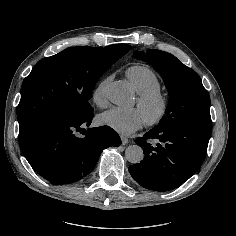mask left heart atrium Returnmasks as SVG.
<instances>
[{"mask_svg":"<svg viewBox=\"0 0 236 236\" xmlns=\"http://www.w3.org/2000/svg\"><path fill=\"white\" fill-rule=\"evenodd\" d=\"M145 117L139 109L112 107L99 116V122L121 135H130L145 125Z\"/></svg>","mask_w":236,"mask_h":236,"instance_id":"1","label":"left heart atrium"}]
</instances>
